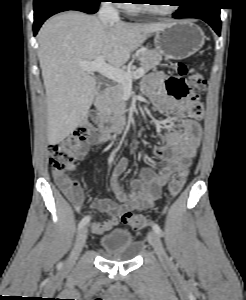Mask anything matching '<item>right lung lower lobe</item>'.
<instances>
[{
    "label": "right lung lower lobe",
    "instance_id": "1",
    "mask_svg": "<svg viewBox=\"0 0 246 300\" xmlns=\"http://www.w3.org/2000/svg\"><path fill=\"white\" fill-rule=\"evenodd\" d=\"M102 0H34V36L50 16L67 10L96 13Z\"/></svg>",
    "mask_w": 246,
    "mask_h": 300
}]
</instances>
